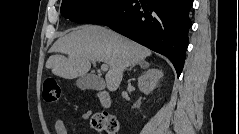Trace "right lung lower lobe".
Listing matches in <instances>:
<instances>
[{
  "label": "right lung lower lobe",
  "mask_w": 239,
  "mask_h": 134,
  "mask_svg": "<svg viewBox=\"0 0 239 134\" xmlns=\"http://www.w3.org/2000/svg\"><path fill=\"white\" fill-rule=\"evenodd\" d=\"M191 0H120L87 23L103 24L168 57L177 75L188 46Z\"/></svg>",
  "instance_id": "98d812e1"
}]
</instances>
